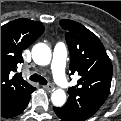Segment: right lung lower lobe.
Returning a JSON list of instances; mask_svg holds the SVG:
<instances>
[{
    "mask_svg": "<svg viewBox=\"0 0 121 121\" xmlns=\"http://www.w3.org/2000/svg\"><path fill=\"white\" fill-rule=\"evenodd\" d=\"M34 90L35 88H33L26 96L16 101L14 104L9 106L8 108L1 110V117H14L20 114L21 112H23V110L26 108L30 100V95Z\"/></svg>",
    "mask_w": 121,
    "mask_h": 121,
    "instance_id": "obj_1",
    "label": "right lung lower lobe"
}]
</instances>
